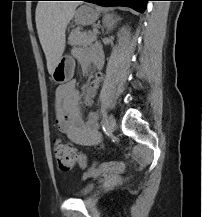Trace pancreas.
I'll return each instance as SVG.
<instances>
[{"label": "pancreas", "mask_w": 202, "mask_h": 217, "mask_svg": "<svg viewBox=\"0 0 202 217\" xmlns=\"http://www.w3.org/2000/svg\"><path fill=\"white\" fill-rule=\"evenodd\" d=\"M96 39L97 35L94 32L85 33L81 32L80 28H76L70 33L68 43L74 46L86 47L96 41Z\"/></svg>", "instance_id": "cf45deb5"}]
</instances>
